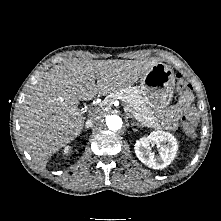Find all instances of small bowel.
Segmentation results:
<instances>
[{
  "label": "small bowel",
  "mask_w": 221,
  "mask_h": 221,
  "mask_svg": "<svg viewBox=\"0 0 221 221\" xmlns=\"http://www.w3.org/2000/svg\"><path fill=\"white\" fill-rule=\"evenodd\" d=\"M183 113H190L196 116V108L192 106V96L190 98L182 96L179 101L167 111L163 117V124L170 130L176 129L177 121Z\"/></svg>",
  "instance_id": "small-bowel-1"
}]
</instances>
